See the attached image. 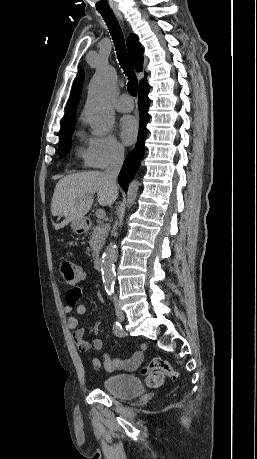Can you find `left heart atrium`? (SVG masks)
I'll return each instance as SVG.
<instances>
[{
  "label": "left heart atrium",
  "instance_id": "39dd6f15",
  "mask_svg": "<svg viewBox=\"0 0 257 459\" xmlns=\"http://www.w3.org/2000/svg\"><path fill=\"white\" fill-rule=\"evenodd\" d=\"M139 125L136 118L124 116L120 120V134L125 144H132L138 135Z\"/></svg>",
  "mask_w": 257,
  "mask_h": 459
}]
</instances>
